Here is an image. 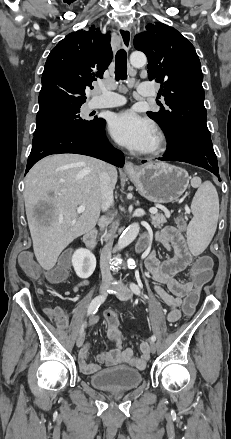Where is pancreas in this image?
<instances>
[{
    "mask_svg": "<svg viewBox=\"0 0 231 439\" xmlns=\"http://www.w3.org/2000/svg\"><path fill=\"white\" fill-rule=\"evenodd\" d=\"M166 218L163 214H152L151 215V224L155 228H161L166 223ZM106 236V232L103 234V237Z\"/></svg>",
    "mask_w": 231,
    "mask_h": 439,
    "instance_id": "1",
    "label": "pancreas"
}]
</instances>
